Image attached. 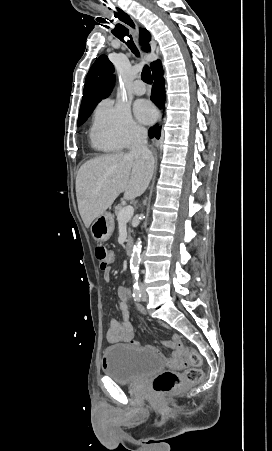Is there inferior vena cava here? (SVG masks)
Segmentation results:
<instances>
[{"label":"inferior vena cava","instance_id":"inferior-vena-cava-1","mask_svg":"<svg viewBox=\"0 0 272 451\" xmlns=\"http://www.w3.org/2000/svg\"><path fill=\"white\" fill-rule=\"evenodd\" d=\"M146 144H147L146 130H138L137 134H135V138H133L131 142L130 146L131 156H138V158H142V160H146V162H152L153 160L152 152L148 150Z\"/></svg>","mask_w":272,"mask_h":451}]
</instances>
